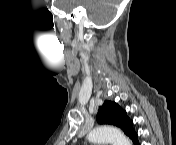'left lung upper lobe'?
<instances>
[{
  "label": "left lung upper lobe",
  "mask_w": 176,
  "mask_h": 145,
  "mask_svg": "<svg viewBox=\"0 0 176 145\" xmlns=\"http://www.w3.org/2000/svg\"><path fill=\"white\" fill-rule=\"evenodd\" d=\"M96 119L99 124L120 127L130 139L137 135L133 129V122L127 117L126 112L115 102L105 101L99 108Z\"/></svg>",
  "instance_id": "1"
}]
</instances>
